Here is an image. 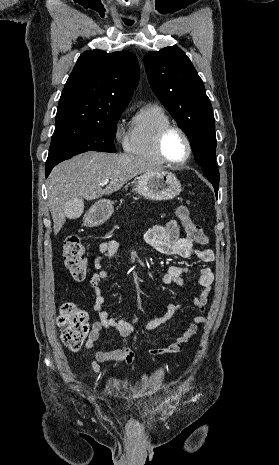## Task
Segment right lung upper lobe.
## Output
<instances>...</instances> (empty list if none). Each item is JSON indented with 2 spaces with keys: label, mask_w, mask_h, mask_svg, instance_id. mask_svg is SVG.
<instances>
[{
  "label": "right lung upper lobe",
  "mask_w": 279,
  "mask_h": 465,
  "mask_svg": "<svg viewBox=\"0 0 279 465\" xmlns=\"http://www.w3.org/2000/svg\"><path fill=\"white\" fill-rule=\"evenodd\" d=\"M139 81L137 58L129 51L82 53L62 91L55 125L101 120L125 109Z\"/></svg>",
  "instance_id": "right-lung-upper-lobe-1"
}]
</instances>
